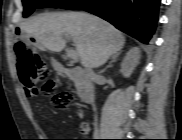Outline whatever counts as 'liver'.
I'll return each mask as SVG.
<instances>
[{"mask_svg":"<svg viewBox=\"0 0 182 140\" xmlns=\"http://www.w3.org/2000/svg\"><path fill=\"white\" fill-rule=\"evenodd\" d=\"M20 30L39 47L54 52L62 51L64 37H70L81 64L89 69L103 65L125 44L124 36L113 25L84 12L41 14L22 23Z\"/></svg>","mask_w":182,"mask_h":140,"instance_id":"6515ba94","label":"liver"}]
</instances>
